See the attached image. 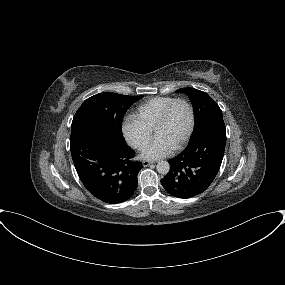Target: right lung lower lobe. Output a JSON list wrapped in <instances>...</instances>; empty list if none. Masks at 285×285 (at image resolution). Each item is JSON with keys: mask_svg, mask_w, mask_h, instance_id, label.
<instances>
[{"mask_svg": "<svg viewBox=\"0 0 285 285\" xmlns=\"http://www.w3.org/2000/svg\"><path fill=\"white\" fill-rule=\"evenodd\" d=\"M70 149L78 176L86 189L103 202L129 199L143 167L134 151L111 135L86 128L71 130Z\"/></svg>", "mask_w": 285, "mask_h": 285, "instance_id": "1", "label": "right lung lower lobe"}]
</instances>
